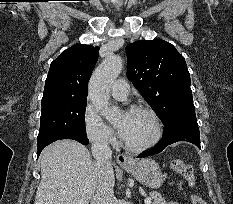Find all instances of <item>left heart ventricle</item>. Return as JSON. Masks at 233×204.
<instances>
[{
	"label": "left heart ventricle",
	"mask_w": 233,
	"mask_h": 204,
	"mask_svg": "<svg viewBox=\"0 0 233 204\" xmlns=\"http://www.w3.org/2000/svg\"><path fill=\"white\" fill-rule=\"evenodd\" d=\"M116 126L122 137L132 145L148 142L155 131L152 118L144 112H124L118 117Z\"/></svg>",
	"instance_id": "obj_1"
}]
</instances>
